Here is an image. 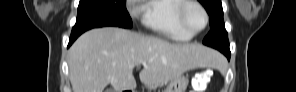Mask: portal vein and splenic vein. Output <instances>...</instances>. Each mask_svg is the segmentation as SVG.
<instances>
[{"label": "portal vein and splenic vein", "mask_w": 296, "mask_h": 92, "mask_svg": "<svg viewBox=\"0 0 296 92\" xmlns=\"http://www.w3.org/2000/svg\"><path fill=\"white\" fill-rule=\"evenodd\" d=\"M142 65H143V66H146V62H145V61H143V62H142Z\"/></svg>", "instance_id": "portal-vein-and-splenic-vein-1"}]
</instances>
